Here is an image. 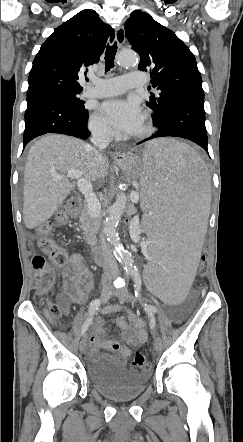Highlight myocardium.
I'll list each match as a JSON object with an SVG mask.
<instances>
[{
  "mask_svg": "<svg viewBox=\"0 0 243 442\" xmlns=\"http://www.w3.org/2000/svg\"><path fill=\"white\" fill-rule=\"evenodd\" d=\"M143 117L145 120V127L141 132L136 133V134H132L133 139H137V140L144 139V138L148 137L149 135H151V133L154 130V125H153V120H152L151 114L148 111H146L143 114Z\"/></svg>",
  "mask_w": 243,
  "mask_h": 442,
  "instance_id": "obj_1",
  "label": "myocardium"
}]
</instances>
